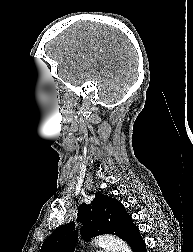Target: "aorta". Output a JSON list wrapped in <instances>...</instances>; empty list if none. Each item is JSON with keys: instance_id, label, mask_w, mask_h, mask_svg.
I'll list each match as a JSON object with an SVG mask.
<instances>
[{"instance_id": "obj_1", "label": "aorta", "mask_w": 193, "mask_h": 252, "mask_svg": "<svg viewBox=\"0 0 193 252\" xmlns=\"http://www.w3.org/2000/svg\"><path fill=\"white\" fill-rule=\"evenodd\" d=\"M93 243L105 249V252H131L127 243L111 235L98 236Z\"/></svg>"}]
</instances>
